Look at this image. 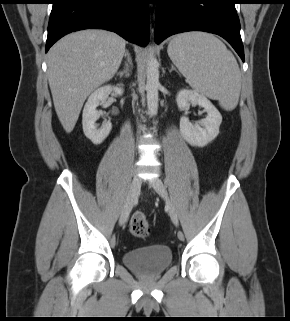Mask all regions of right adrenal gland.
Returning <instances> with one entry per match:
<instances>
[{
	"label": "right adrenal gland",
	"mask_w": 290,
	"mask_h": 321,
	"mask_svg": "<svg viewBox=\"0 0 290 321\" xmlns=\"http://www.w3.org/2000/svg\"><path fill=\"white\" fill-rule=\"evenodd\" d=\"M125 57L127 58V61H128L129 65L132 68L131 58H130V56H129V54L127 52L125 53ZM129 75H130V71L128 69V65H127L126 69L116 73V76H119L120 78H122V77H126L127 78V77H129Z\"/></svg>",
	"instance_id": "2a0ac1e0"
}]
</instances>
